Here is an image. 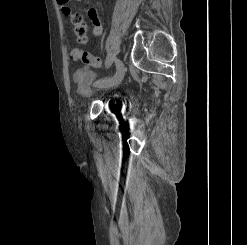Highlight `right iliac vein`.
<instances>
[{
    "label": "right iliac vein",
    "instance_id": "63e3f726",
    "mask_svg": "<svg viewBox=\"0 0 247 245\" xmlns=\"http://www.w3.org/2000/svg\"><path fill=\"white\" fill-rule=\"evenodd\" d=\"M112 60L116 64V68H117L116 74L112 78L104 79V80H101L100 82H98L97 83L98 87L110 88V87H113V86L119 84L122 81L124 74H125V67H124L123 63L118 58L113 57Z\"/></svg>",
    "mask_w": 247,
    "mask_h": 245
}]
</instances>
